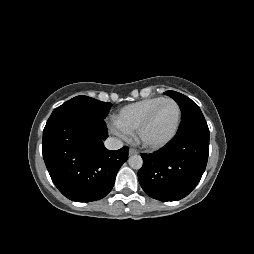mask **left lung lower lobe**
<instances>
[{"label": "left lung lower lobe", "instance_id": "1", "mask_svg": "<svg viewBox=\"0 0 254 254\" xmlns=\"http://www.w3.org/2000/svg\"><path fill=\"white\" fill-rule=\"evenodd\" d=\"M208 151V127L177 132L161 150L141 154L143 166L138 171V179L142 189L160 201L184 198L199 183L206 168Z\"/></svg>", "mask_w": 254, "mask_h": 254}]
</instances>
